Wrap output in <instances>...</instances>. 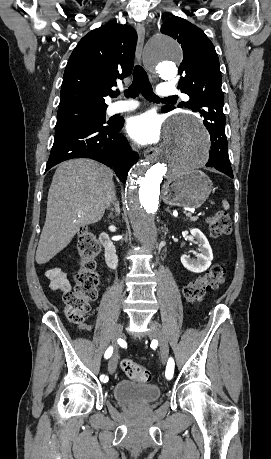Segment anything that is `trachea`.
<instances>
[{
	"instance_id": "1",
	"label": "trachea",
	"mask_w": 271,
	"mask_h": 459,
	"mask_svg": "<svg viewBox=\"0 0 271 459\" xmlns=\"http://www.w3.org/2000/svg\"><path fill=\"white\" fill-rule=\"evenodd\" d=\"M140 93L150 102H160V98L153 92V88L149 82L146 71L143 67H141V65H135L133 70V81L128 90H126V95L128 97L135 98ZM114 95L117 96L118 92H115ZM169 99L170 97H167L164 101H168Z\"/></svg>"
}]
</instances>
